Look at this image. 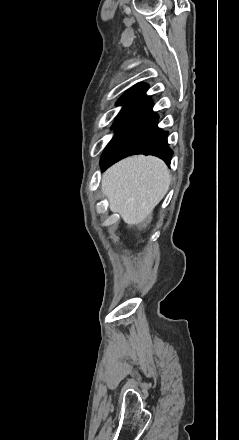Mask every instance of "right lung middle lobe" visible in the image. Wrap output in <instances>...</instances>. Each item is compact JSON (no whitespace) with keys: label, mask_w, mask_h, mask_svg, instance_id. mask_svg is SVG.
Listing matches in <instances>:
<instances>
[{"label":"right lung middle lobe","mask_w":239,"mask_h":440,"mask_svg":"<svg viewBox=\"0 0 239 440\" xmlns=\"http://www.w3.org/2000/svg\"><path fill=\"white\" fill-rule=\"evenodd\" d=\"M117 104L123 105V108H122L121 112L119 113V115L116 117V119L114 121V124L112 126V129H114V127L117 124L118 120L120 119V117L122 116V114L124 113V111L126 110V108L128 107V105L130 103L129 102H117Z\"/></svg>","instance_id":"1"}]
</instances>
